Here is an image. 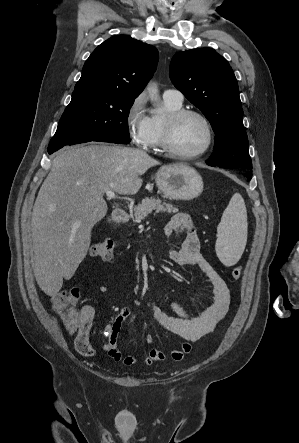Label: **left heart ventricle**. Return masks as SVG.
I'll use <instances>...</instances> for the list:
<instances>
[{
  "mask_svg": "<svg viewBox=\"0 0 299 443\" xmlns=\"http://www.w3.org/2000/svg\"><path fill=\"white\" fill-rule=\"evenodd\" d=\"M206 140L207 130L204 123L195 116H187L177 124L172 145L179 152L194 153L203 148Z\"/></svg>",
  "mask_w": 299,
  "mask_h": 443,
  "instance_id": "1",
  "label": "left heart ventricle"
}]
</instances>
